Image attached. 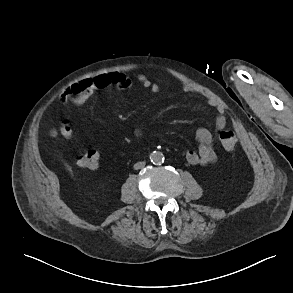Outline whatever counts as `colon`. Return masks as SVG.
I'll return each mask as SVG.
<instances>
[{"mask_svg": "<svg viewBox=\"0 0 293 293\" xmlns=\"http://www.w3.org/2000/svg\"><path fill=\"white\" fill-rule=\"evenodd\" d=\"M60 134L64 137H70L72 135V129L68 122H63L60 128ZM219 140L222 147L228 151L234 149L237 138L233 130H223L219 134ZM100 160V151L97 147H90L77 159V164L80 167L87 169L97 168Z\"/></svg>", "mask_w": 293, "mask_h": 293, "instance_id": "obj_1", "label": "colon"}]
</instances>
